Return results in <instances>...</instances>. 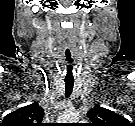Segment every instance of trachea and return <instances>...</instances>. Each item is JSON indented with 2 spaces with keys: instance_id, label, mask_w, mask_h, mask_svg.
I'll use <instances>...</instances> for the list:
<instances>
[{
  "instance_id": "trachea-1",
  "label": "trachea",
  "mask_w": 135,
  "mask_h": 126,
  "mask_svg": "<svg viewBox=\"0 0 135 126\" xmlns=\"http://www.w3.org/2000/svg\"><path fill=\"white\" fill-rule=\"evenodd\" d=\"M67 65H66V77H65V97H69L72 93L74 86L73 78V59L67 56Z\"/></svg>"
}]
</instances>
